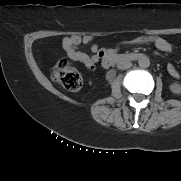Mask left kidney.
I'll return each mask as SVG.
<instances>
[{"label": "left kidney", "mask_w": 181, "mask_h": 181, "mask_svg": "<svg viewBox=\"0 0 181 181\" xmlns=\"http://www.w3.org/2000/svg\"><path fill=\"white\" fill-rule=\"evenodd\" d=\"M170 90L174 93V94H181V85L178 83H173L170 85Z\"/></svg>", "instance_id": "1"}]
</instances>
